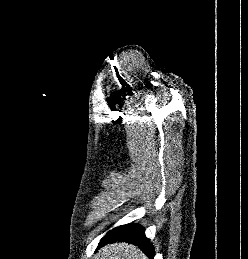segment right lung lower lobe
<instances>
[{"label":"right lung lower lobe","instance_id":"obj_1","mask_svg":"<svg viewBox=\"0 0 248 259\" xmlns=\"http://www.w3.org/2000/svg\"><path fill=\"white\" fill-rule=\"evenodd\" d=\"M117 241L133 243L139 246L150 259L154 257V247L145 237L144 229L139 225L127 224L114 228L101 239L98 248Z\"/></svg>","mask_w":248,"mask_h":259}]
</instances>
